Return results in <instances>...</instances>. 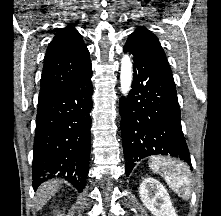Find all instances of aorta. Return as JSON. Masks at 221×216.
Instances as JSON below:
<instances>
[{
  "label": "aorta",
  "instance_id": "1",
  "mask_svg": "<svg viewBox=\"0 0 221 216\" xmlns=\"http://www.w3.org/2000/svg\"><path fill=\"white\" fill-rule=\"evenodd\" d=\"M132 83V63L128 55H124L121 60L120 89L123 96H127Z\"/></svg>",
  "mask_w": 221,
  "mask_h": 216
}]
</instances>
